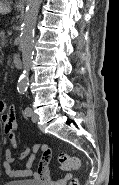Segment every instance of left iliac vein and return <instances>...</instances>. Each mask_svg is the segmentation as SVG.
<instances>
[{
    "mask_svg": "<svg viewBox=\"0 0 119 185\" xmlns=\"http://www.w3.org/2000/svg\"><path fill=\"white\" fill-rule=\"evenodd\" d=\"M30 116H31V119H32V121L34 123L37 122L38 119H39L38 115L34 111H31V115Z\"/></svg>",
    "mask_w": 119,
    "mask_h": 185,
    "instance_id": "4c4485c4",
    "label": "left iliac vein"
}]
</instances>
